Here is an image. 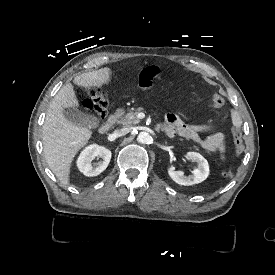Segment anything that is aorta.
<instances>
[{
  "mask_svg": "<svg viewBox=\"0 0 275 275\" xmlns=\"http://www.w3.org/2000/svg\"><path fill=\"white\" fill-rule=\"evenodd\" d=\"M151 140V136L148 132H140L137 136V142L141 143V144H147L148 142H150Z\"/></svg>",
  "mask_w": 275,
  "mask_h": 275,
  "instance_id": "aorta-1",
  "label": "aorta"
}]
</instances>
